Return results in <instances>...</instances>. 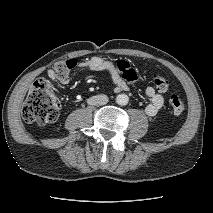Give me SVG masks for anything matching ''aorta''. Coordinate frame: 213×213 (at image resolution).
Returning <instances> with one entry per match:
<instances>
[{"label": "aorta", "instance_id": "762f6f07", "mask_svg": "<svg viewBox=\"0 0 213 213\" xmlns=\"http://www.w3.org/2000/svg\"><path fill=\"white\" fill-rule=\"evenodd\" d=\"M116 102H117V104H119L121 106H125L129 102V97L126 94H119L116 97Z\"/></svg>", "mask_w": 213, "mask_h": 213}]
</instances>
